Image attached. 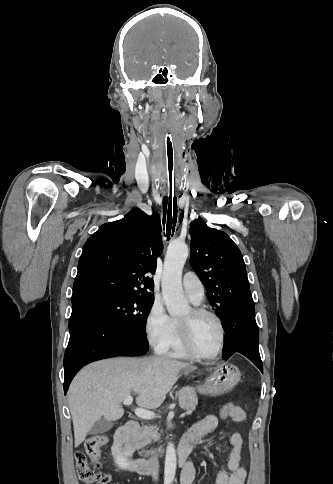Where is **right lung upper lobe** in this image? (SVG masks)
I'll return each instance as SVG.
<instances>
[{
  "label": "right lung upper lobe",
  "mask_w": 333,
  "mask_h": 484,
  "mask_svg": "<svg viewBox=\"0 0 333 484\" xmlns=\"http://www.w3.org/2000/svg\"><path fill=\"white\" fill-rule=\"evenodd\" d=\"M161 223L132 209L123 219L103 224L88 238L78 263L72 302L94 292L153 296V280L162 253Z\"/></svg>",
  "instance_id": "1"
}]
</instances>
